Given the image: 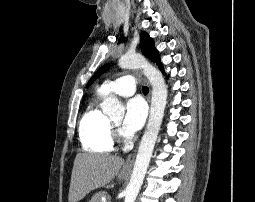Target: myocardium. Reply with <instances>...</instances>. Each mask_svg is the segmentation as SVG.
Returning a JSON list of instances; mask_svg holds the SVG:
<instances>
[{
	"mask_svg": "<svg viewBox=\"0 0 255 202\" xmlns=\"http://www.w3.org/2000/svg\"><path fill=\"white\" fill-rule=\"evenodd\" d=\"M112 133L113 136L119 140L124 138V134L121 131L119 125H117L115 122H112Z\"/></svg>",
	"mask_w": 255,
	"mask_h": 202,
	"instance_id": "myocardium-1",
	"label": "myocardium"
}]
</instances>
